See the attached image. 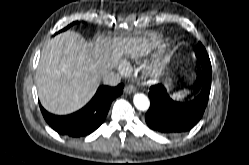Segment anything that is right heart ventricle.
Listing matches in <instances>:
<instances>
[{
    "mask_svg": "<svg viewBox=\"0 0 249 165\" xmlns=\"http://www.w3.org/2000/svg\"><path fill=\"white\" fill-rule=\"evenodd\" d=\"M168 46L166 39L153 36L150 39L136 45L126 54L127 61L133 64H141L147 57L161 52Z\"/></svg>",
    "mask_w": 249,
    "mask_h": 165,
    "instance_id": "obj_1",
    "label": "right heart ventricle"
}]
</instances>
